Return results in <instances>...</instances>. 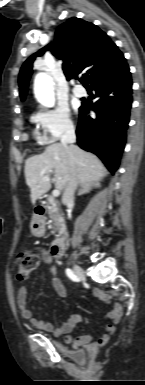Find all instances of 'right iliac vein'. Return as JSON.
Wrapping results in <instances>:
<instances>
[{
	"instance_id": "63e3f726",
	"label": "right iliac vein",
	"mask_w": 145,
	"mask_h": 385,
	"mask_svg": "<svg viewBox=\"0 0 145 385\" xmlns=\"http://www.w3.org/2000/svg\"><path fill=\"white\" fill-rule=\"evenodd\" d=\"M73 265V270L75 272V274L82 280L85 279V272L84 270L78 265L76 264L75 262L72 263Z\"/></svg>"
}]
</instances>
